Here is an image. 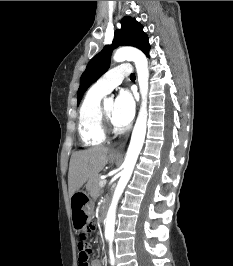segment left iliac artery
<instances>
[{
    "instance_id": "obj_1",
    "label": "left iliac artery",
    "mask_w": 233,
    "mask_h": 266,
    "mask_svg": "<svg viewBox=\"0 0 233 266\" xmlns=\"http://www.w3.org/2000/svg\"><path fill=\"white\" fill-rule=\"evenodd\" d=\"M109 240H110V250H109L110 262L112 265H114L115 259H114V254L112 250V239H109Z\"/></svg>"
}]
</instances>
